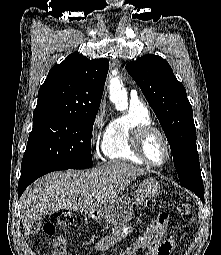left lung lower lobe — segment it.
I'll return each instance as SVG.
<instances>
[{
  "mask_svg": "<svg viewBox=\"0 0 221 255\" xmlns=\"http://www.w3.org/2000/svg\"><path fill=\"white\" fill-rule=\"evenodd\" d=\"M189 190L193 191L202 200V202H204V188L202 189L191 188Z\"/></svg>",
  "mask_w": 221,
  "mask_h": 255,
  "instance_id": "0a47b994",
  "label": "left lung lower lobe"
}]
</instances>
